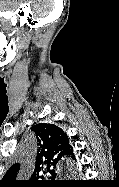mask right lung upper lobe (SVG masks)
Returning a JSON list of instances; mask_svg holds the SVG:
<instances>
[{
  "label": "right lung upper lobe",
  "instance_id": "right-lung-upper-lobe-1",
  "mask_svg": "<svg viewBox=\"0 0 119 187\" xmlns=\"http://www.w3.org/2000/svg\"><path fill=\"white\" fill-rule=\"evenodd\" d=\"M32 130L36 133L39 146L35 169L37 174H42L44 168L50 167L61 159L73 157V150L66 133L56 125L37 124ZM18 170L19 165H13L5 177L15 180Z\"/></svg>",
  "mask_w": 119,
  "mask_h": 187
}]
</instances>
